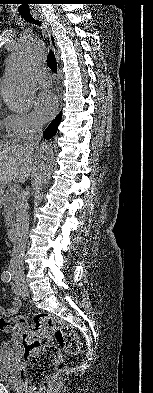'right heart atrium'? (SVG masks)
Here are the masks:
<instances>
[{
  "instance_id": "obj_1",
  "label": "right heart atrium",
  "mask_w": 153,
  "mask_h": 393,
  "mask_svg": "<svg viewBox=\"0 0 153 393\" xmlns=\"http://www.w3.org/2000/svg\"><path fill=\"white\" fill-rule=\"evenodd\" d=\"M7 129L12 138H23L41 130V125L30 112L13 113L6 117Z\"/></svg>"
}]
</instances>
